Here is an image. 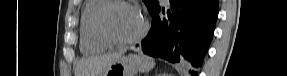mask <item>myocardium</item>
Wrapping results in <instances>:
<instances>
[{
    "label": "myocardium",
    "mask_w": 287,
    "mask_h": 76,
    "mask_svg": "<svg viewBox=\"0 0 287 76\" xmlns=\"http://www.w3.org/2000/svg\"><path fill=\"white\" fill-rule=\"evenodd\" d=\"M117 5H125L137 9L143 17V27L134 37L129 39H120L115 37L106 26V18L110 11ZM149 30V20L145 13L135 4L126 0H107V2L98 11L95 18V31L98 37L108 46H127L138 43L147 34Z\"/></svg>",
    "instance_id": "1"
}]
</instances>
